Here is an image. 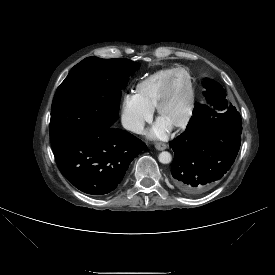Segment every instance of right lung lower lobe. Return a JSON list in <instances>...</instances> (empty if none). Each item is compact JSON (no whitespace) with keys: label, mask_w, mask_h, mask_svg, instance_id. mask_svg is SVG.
<instances>
[{"label":"right lung lower lobe","mask_w":275,"mask_h":275,"mask_svg":"<svg viewBox=\"0 0 275 275\" xmlns=\"http://www.w3.org/2000/svg\"><path fill=\"white\" fill-rule=\"evenodd\" d=\"M125 85H119L120 94ZM52 147L59 170L68 181L84 193L104 195L118 186L146 144L111 126L63 134L52 140Z\"/></svg>","instance_id":"right-lung-lower-lobe-1"}]
</instances>
